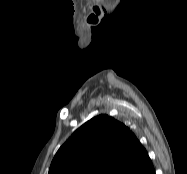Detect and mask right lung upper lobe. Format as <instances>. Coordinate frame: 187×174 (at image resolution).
<instances>
[{"instance_id": "right-lung-upper-lobe-1", "label": "right lung upper lobe", "mask_w": 187, "mask_h": 174, "mask_svg": "<svg viewBox=\"0 0 187 174\" xmlns=\"http://www.w3.org/2000/svg\"><path fill=\"white\" fill-rule=\"evenodd\" d=\"M152 162L136 136L107 115L92 118L57 151L48 174H151Z\"/></svg>"}]
</instances>
